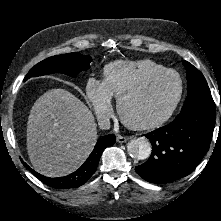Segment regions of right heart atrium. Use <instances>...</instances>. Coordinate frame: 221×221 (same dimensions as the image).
Segmentation results:
<instances>
[{"mask_svg":"<svg viewBox=\"0 0 221 221\" xmlns=\"http://www.w3.org/2000/svg\"><path fill=\"white\" fill-rule=\"evenodd\" d=\"M86 97L100 121L112 115V96L103 81L90 78L85 87Z\"/></svg>","mask_w":221,"mask_h":221,"instance_id":"d8ad5b80","label":"right heart atrium"}]
</instances>
